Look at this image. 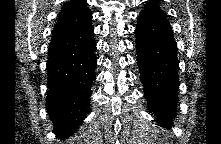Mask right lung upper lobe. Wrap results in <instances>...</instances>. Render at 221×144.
<instances>
[{
	"mask_svg": "<svg viewBox=\"0 0 221 144\" xmlns=\"http://www.w3.org/2000/svg\"><path fill=\"white\" fill-rule=\"evenodd\" d=\"M92 14L85 0H71L64 4L54 27L51 42L66 37L91 23Z\"/></svg>",
	"mask_w": 221,
	"mask_h": 144,
	"instance_id": "obj_1",
	"label": "right lung upper lobe"
}]
</instances>
